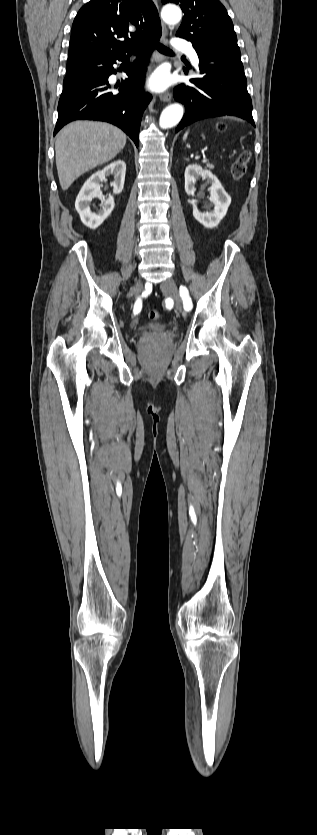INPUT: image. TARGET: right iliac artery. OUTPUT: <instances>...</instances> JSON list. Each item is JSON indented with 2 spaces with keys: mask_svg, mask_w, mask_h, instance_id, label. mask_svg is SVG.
<instances>
[{
  "mask_svg": "<svg viewBox=\"0 0 317 835\" xmlns=\"http://www.w3.org/2000/svg\"><path fill=\"white\" fill-rule=\"evenodd\" d=\"M141 308H142V302H141V299H138L135 302V305H134V310H133L134 314H138L140 312Z\"/></svg>",
  "mask_w": 317,
  "mask_h": 835,
  "instance_id": "obj_1",
  "label": "right iliac artery"
}]
</instances>
